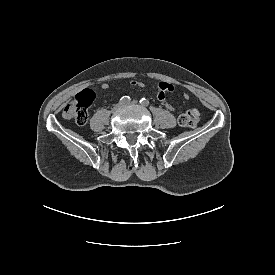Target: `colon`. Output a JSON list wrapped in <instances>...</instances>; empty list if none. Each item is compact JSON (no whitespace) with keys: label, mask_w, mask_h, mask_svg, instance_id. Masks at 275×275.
<instances>
[{"label":"colon","mask_w":275,"mask_h":275,"mask_svg":"<svg viewBox=\"0 0 275 275\" xmlns=\"http://www.w3.org/2000/svg\"><path fill=\"white\" fill-rule=\"evenodd\" d=\"M95 99V92L92 89H84L74 101L67 104L63 109V116L76 123L84 125L88 119V108ZM200 111L197 108L190 109L179 118V123L183 126L194 127L200 120Z\"/></svg>","instance_id":"5ec220e1"}]
</instances>
